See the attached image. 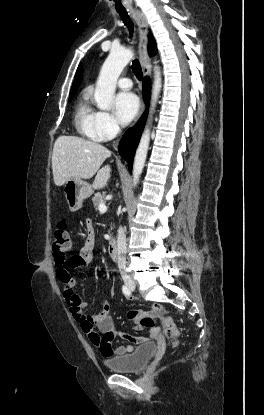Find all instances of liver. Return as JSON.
Returning a JSON list of instances; mask_svg holds the SVG:
<instances>
[{"instance_id":"obj_1","label":"liver","mask_w":264,"mask_h":415,"mask_svg":"<svg viewBox=\"0 0 264 415\" xmlns=\"http://www.w3.org/2000/svg\"><path fill=\"white\" fill-rule=\"evenodd\" d=\"M111 151L103 145L76 136H60L55 141L52 155L53 179L56 186L69 179H90L95 174L94 189L106 186L111 173L110 165L101 168Z\"/></svg>"}]
</instances>
